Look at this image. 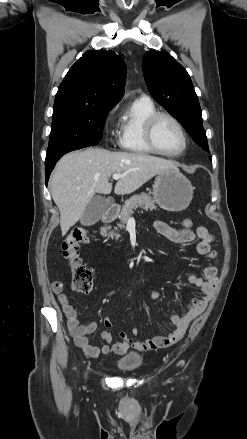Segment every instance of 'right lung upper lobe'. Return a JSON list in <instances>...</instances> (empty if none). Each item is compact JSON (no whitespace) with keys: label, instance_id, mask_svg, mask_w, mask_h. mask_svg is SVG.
I'll return each mask as SVG.
<instances>
[{"label":"right lung upper lobe","instance_id":"right-lung-upper-lobe-1","mask_svg":"<svg viewBox=\"0 0 247 439\" xmlns=\"http://www.w3.org/2000/svg\"><path fill=\"white\" fill-rule=\"evenodd\" d=\"M126 65L112 51L88 50L60 84L54 107L113 108L123 96Z\"/></svg>","mask_w":247,"mask_h":439}]
</instances>
